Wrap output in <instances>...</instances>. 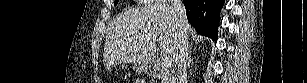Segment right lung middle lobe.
Here are the masks:
<instances>
[{
	"label": "right lung middle lobe",
	"mask_w": 307,
	"mask_h": 83,
	"mask_svg": "<svg viewBox=\"0 0 307 83\" xmlns=\"http://www.w3.org/2000/svg\"><path fill=\"white\" fill-rule=\"evenodd\" d=\"M118 3V0H115V5Z\"/></svg>",
	"instance_id": "obj_1"
}]
</instances>
